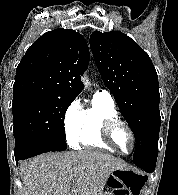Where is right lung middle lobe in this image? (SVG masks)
Returning <instances> with one entry per match:
<instances>
[{
    "instance_id": "right-lung-middle-lobe-1",
    "label": "right lung middle lobe",
    "mask_w": 178,
    "mask_h": 195,
    "mask_svg": "<svg viewBox=\"0 0 178 195\" xmlns=\"http://www.w3.org/2000/svg\"><path fill=\"white\" fill-rule=\"evenodd\" d=\"M74 98L26 93L13 96L12 114L16 140L65 141L64 118Z\"/></svg>"
}]
</instances>
